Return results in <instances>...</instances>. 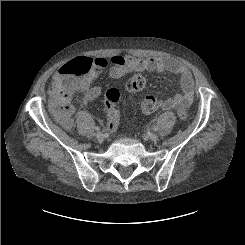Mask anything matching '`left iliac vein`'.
Masks as SVG:
<instances>
[{"label":"left iliac vein","instance_id":"left-iliac-vein-1","mask_svg":"<svg viewBox=\"0 0 245 245\" xmlns=\"http://www.w3.org/2000/svg\"><path fill=\"white\" fill-rule=\"evenodd\" d=\"M148 138H149L151 141H157V140H158V135H157V134H152V135L148 136Z\"/></svg>","mask_w":245,"mask_h":245}]
</instances>
